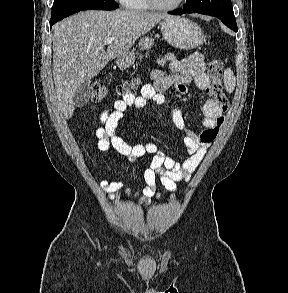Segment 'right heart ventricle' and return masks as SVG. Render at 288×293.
Segmentation results:
<instances>
[{"mask_svg": "<svg viewBox=\"0 0 288 293\" xmlns=\"http://www.w3.org/2000/svg\"><path fill=\"white\" fill-rule=\"evenodd\" d=\"M124 5L130 10L144 11L150 8L147 0H126Z\"/></svg>", "mask_w": 288, "mask_h": 293, "instance_id": "e07e8e85", "label": "right heart ventricle"}]
</instances>
